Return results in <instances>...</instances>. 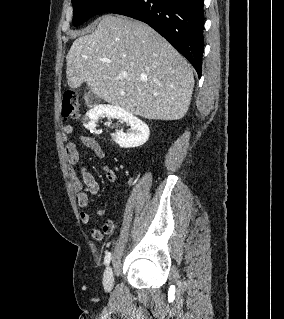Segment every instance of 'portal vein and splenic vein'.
<instances>
[{"instance_id": "obj_1", "label": "portal vein and splenic vein", "mask_w": 284, "mask_h": 319, "mask_svg": "<svg viewBox=\"0 0 284 319\" xmlns=\"http://www.w3.org/2000/svg\"><path fill=\"white\" fill-rule=\"evenodd\" d=\"M121 77H122V78H124V77H126V75H125V74H123Z\"/></svg>"}]
</instances>
